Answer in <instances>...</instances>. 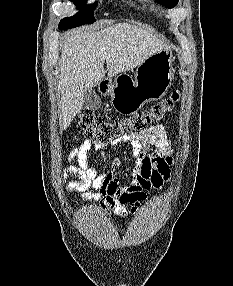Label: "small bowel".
I'll return each instance as SVG.
<instances>
[{
    "label": "small bowel",
    "instance_id": "c3829d8e",
    "mask_svg": "<svg viewBox=\"0 0 233 286\" xmlns=\"http://www.w3.org/2000/svg\"><path fill=\"white\" fill-rule=\"evenodd\" d=\"M128 142L131 146L132 155L135 158L132 169V180L126 186H120L113 171L99 172L95 167L86 164L88 152L92 147L98 151L107 148L106 144L96 143L89 139L84 140L75 147L69 155L72 164L63 172V181L66 182L70 176H78L80 183H68L66 188L70 192H81L92 188L98 194H82L81 197L87 201H97L108 214L127 216L134 211L132 199L138 193H145L151 188H160L163 181L168 178L170 168L173 165L172 146L163 125H154L142 130L139 134L113 142ZM77 165H74L75 161ZM119 165L114 161L113 168ZM146 194V193H145Z\"/></svg>",
    "mask_w": 233,
    "mask_h": 286
}]
</instances>
